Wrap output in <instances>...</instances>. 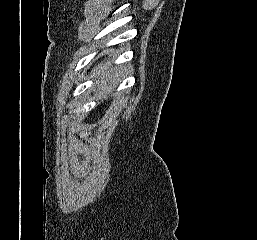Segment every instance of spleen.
<instances>
[{
	"label": "spleen",
	"instance_id": "spleen-1",
	"mask_svg": "<svg viewBox=\"0 0 257 240\" xmlns=\"http://www.w3.org/2000/svg\"><path fill=\"white\" fill-rule=\"evenodd\" d=\"M105 66L99 65L97 69L102 70ZM131 70V67H127L125 69H113L112 71H109L105 73L101 79L99 84V87L102 91L107 92L112 89H114L118 84L122 81L125 74H127Z\"/></svg>",
	"mask_w": 257,
	"mask_h": 240
}]
</instances>
